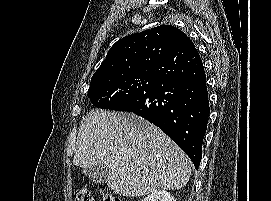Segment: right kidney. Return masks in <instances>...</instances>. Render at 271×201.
<instances>
[{
  "label": "right kidney",
  "mask_w": 271,
  "mask_h": 201,
  "mask_svg": "<svg viewBox=\"0 0 271 201\" xmlns=\"http://www.w3.org/2000/svg\"><path fill=\"white\" fill-rule=\"evenodd\" d=\"M142 201H176V199L169 192L159 190L149 194Z\"/></svg>",
  "instance_id": "obj_1"
}]
</instances>
